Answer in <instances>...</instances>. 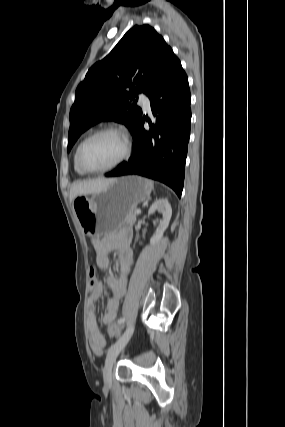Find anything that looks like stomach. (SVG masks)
I'll return each mask as SVG.
<instances>
[{
    "mask_svg": "<svg viewBox=\"0 0 285 427\" xmlns=\"http://www.w3.org/2000/svg\"><path fill=\"white\" fill-rule=\"evenodd\" d=\"M153 184L140 176L116 178L107 188L91 196H77L72 203L84 232L102 237L127 225V216L148 199Z\"/></svg>",
    "mask_w": 285,
    "mask_h": 427,
    "instance_id": "obj_1",
    "label": "stomach"
}]
</instances>
